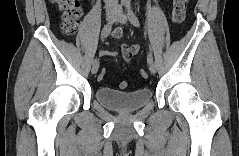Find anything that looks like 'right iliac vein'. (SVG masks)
I'll use <instances>...</instances> for the list:
<instances>
[{
	"label": "right iliac vein",
	"instance_id": "right-iliac-vein-1",
	"mask_svg": "<svg viewBox=\"0 0 239 156\" xmlns=\"http://www.w3.org/2000/svg\"><path fill=\"white\" fill-rule=\"evenodd\" d=\"M115 13H116V9L115 8H108L107 11H106V19L108 22L112 21L114 16H115ZM98 68H99V62L97 61L96 63H94L92 65V68H91V73L92 74H96L97 71H98Z\"/></svg>",
	"mask_w": 239,
	"mask_h": 156
}]
</instances>
